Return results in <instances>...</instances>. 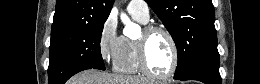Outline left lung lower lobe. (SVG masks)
<instances>
[{
    "instance_id": "left-lung-lower-lobe-1",
    "label": "left lung lower lobe",
    "mask_w": 260,
    "mask_h": 84,
    "mask_svg": "<svg viewBox=\"0 0 260 84\" xmlns=\"http://www.w3.org/2000/svg\"><path fill=\"white\" fill-rule=\"evenodd\" d=\"M219 60L201 63L182 76L174 77L176 80H198L205 84H221L219 73Z\"/></svg>"
}]
</instances>
